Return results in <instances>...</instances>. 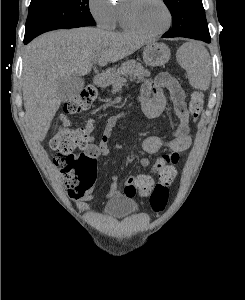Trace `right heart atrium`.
<instances>
[{"instance_id": "d8ad5b80", "label": "right heart atrium", "mask_w": 245, "mask_h": 300, "mask_svg": "<svg viewBox=\"0 0 245 300\" xmlns=\"http://www.w3.org/2000/svg\"><path fill=\"white\" fill-rule=\"evenodd\" d=\"M88 9L101 28L112 29L116 19V5L112 0H88Z\"/></svg>"}]
</instances>
